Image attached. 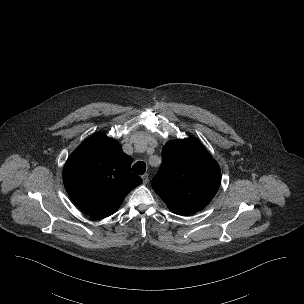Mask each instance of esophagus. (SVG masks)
Returning a JSON list of instances; mask_svg holds the SVG:
<instances>
[{"label": "esophagus", "instance_id": "obj_1", "mask_svg": "<svg viewBox=\"0 0 304 304\" xmlns=\"http://www.w3.org/2000/svg\"><path fill=\"white\" fill-rule=\"evenodd\" d=\"M143 184H147L149 181V175L146 173L142 175Z\"/></svg>", "mask_w": 304, "mask_h": 304}]
</instances>
